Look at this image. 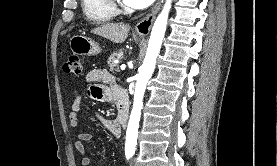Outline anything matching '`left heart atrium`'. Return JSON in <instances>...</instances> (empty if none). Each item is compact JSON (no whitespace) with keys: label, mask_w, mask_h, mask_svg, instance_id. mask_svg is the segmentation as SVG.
Returning a JSON list of instances; mask_svg holds the SVG:
<instances>
[{"label":"left heart atrium","mask_w":277,"mask_h":166,"mask_svg":"<svg viewBox=\"0 0 277 166\" xmlns=\"http://www.w3.org/2000/svg\"><path fill=\"white\" fill-rule=\"evenodd\" d=\"M124 3L132 8L143 9L151 5L154 0H123Z\"/></svg>","instance_id":"left-heart-atrium-1"}]
</instances>
